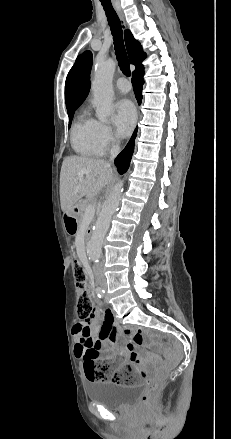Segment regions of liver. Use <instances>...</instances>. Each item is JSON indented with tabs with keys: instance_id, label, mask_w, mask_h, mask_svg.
Listing matches in <instances>:
<instances>
[{
	"instance_id": "obj_1",
	"label": "liver",
	"mask_w": 231,
	"mask_h": 439,
	"mask_svg": "<svg viewBox=\"0 0 231 439\" xmlns=\"http://www.w3.org/2000/svg\"><path fill=\"white\" fill-rule=\"evenodd\" d=\"M113 177V168L104 160L79 156L65 158L60 173L62 210L66 211L83 196H96Z\"/></svg>"
}]
</instances>
